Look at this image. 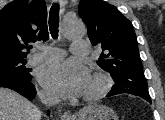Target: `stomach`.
Listing matches in <instances>:
<instances>
[{
    "label": "stomach",
    "instance_id": "0dacf381",
    "mask_svg": "<svg viewBox=\"0 0 165 120\" xmlns=\"http://www.w3.org/2000/svg\"><path fill=\"white\" fill-rule=\"evenodd\" d=\"M76 120H119V118L110 107L95 104L82 109Z\"/></svg>",
    "mask_w": 165,
    "mask_h": 120
}]
</instances>
